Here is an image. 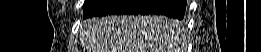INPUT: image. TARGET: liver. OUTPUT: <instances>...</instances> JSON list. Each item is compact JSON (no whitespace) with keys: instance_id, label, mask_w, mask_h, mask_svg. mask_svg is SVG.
Here are the masks:
<instances>
[{"instance_id":"1","label":"liver","mask_w":261,"mask_h":52,"mask_svg":"<svg viewBox=\"0 0 261 52\" xmlns=\"http://www.w3.org/2000/svg\"><path fill=\"white\" fill-rule=\"evenodd\" d=\"M182 24L163 16H107L87 19V52H174Z\"/></svg>"}]
</instances>
